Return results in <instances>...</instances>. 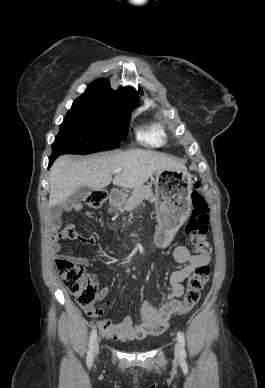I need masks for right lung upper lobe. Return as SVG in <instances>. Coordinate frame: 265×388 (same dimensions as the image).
I'll use <instances>...</instances> for the list:
<instances>
[{
  "label": "right lung upper lobe",
  "instance_id": "cb5924a9",
  "mask_svg": "<svg viewBox=\"0 0 265 388\" xmlns=\"http://www.w3.org/2000/svg\"><path fill=\"white\" fill-rule=\"evenodd\" d=\"M82 97L120 99L131 104L139 102L138 93L132 87H125L114 91L104 79H98L91 83Z\"/></svg>",
  "mask_w": 265,
  "mask_h": 388
}]
</instances>
